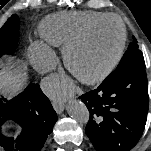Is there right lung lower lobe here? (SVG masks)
<instances>
[{
  "label": "right lung lower lobe",
  "instance_id": "1",
  "mask_svg": "<svg viewBox=\"0 0 151 151\" xmlns=\"http://www.w3.org/2000/svg\"><path fill=\"white\" fill-rule=\"evenodd\" d=\"M0 99V149L3 151H40L57 121V114L39 84L29 86L14 99ZM15 122L21 135L14 138L1 133V125Z\"/></svg>",
  "mask_w": 151,
  "mask_h": 151
}]
</instances>
